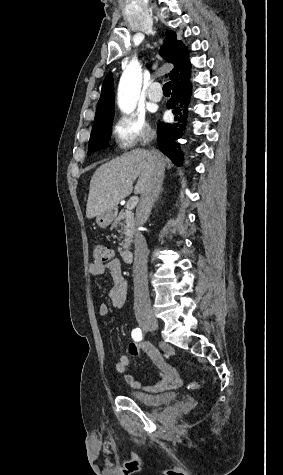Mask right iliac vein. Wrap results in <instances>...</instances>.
<instances>
[{"mask_svg":"<svg viewBox=\"0 0 283 475\" xmlns=\"http://www.w3.org/2000/svg\"><path fill=\"white\" fill-rule=\"evenodd\" d=\"M139 323L147 330H155L158 327L157 318L153 313H146L140 319Z\"/></svg>","mask_w":283,"mask_h":475,"instance_id":"right-iliac-vein-1","label":"right iliac vein"}]
</instances>
